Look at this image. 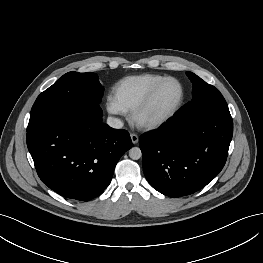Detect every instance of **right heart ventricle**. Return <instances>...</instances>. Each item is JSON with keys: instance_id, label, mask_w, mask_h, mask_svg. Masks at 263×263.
<instances>
[{"instance_id": "right-heart-ventricle-1", "label": "right heart ventricle", "mask_w": 263, "mask_h": 263, "mask_svg": "<svg viewBox=\"0 0 263 263\" xmlns=\"http://www.w3.org/2000/svg\"><path fill=\"white\" fill-rule=\"evenodd\" d=\"M164 76L141 74L117 81L111 89V100L122 112H131Z\"/></svg>"}]
</instances>
